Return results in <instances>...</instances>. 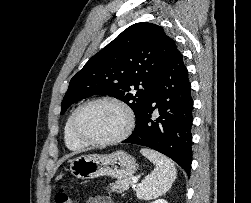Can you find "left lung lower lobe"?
<instances>
[{
  "label": "left lung lower lobe",
  "mask_w": 251,
  "mask_h": 203,
  "mask_svg": "<svg viewBox=\"0 0 251 203\" xmlns=\"http://www.w3.org/2000/svg\"><path fill=\"white\" fill-rule=\"evenodd\" d=\"M156 103V105H155ZM193 99L188 70L176 44L161 68L152 94L123 142L152 148L174 160L190 175Z\"/></svg>",
  "instance_id": "1"
}]
</instances>
